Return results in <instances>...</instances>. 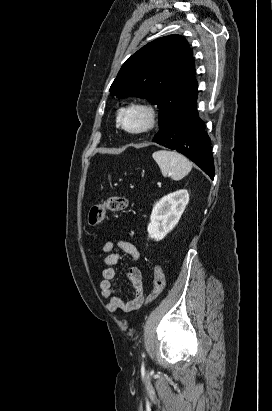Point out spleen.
I'll return each instance as SVG.
<instances>
[{
  "label": "spleen",
  "instance_id": "obj_1",
  "mask_svg": "<svg viewBox=\"0 0 272 411\" xmlns=\"http://www.w3.org/2000/svg\"><path fill=\"white\" fill-rule=\"evenodd\" d=\"M163 176H170L173 180H181L192 169V163L182 154L169 150H158L153 153Z\"/></svg>",
  "mask_w": 272,
  "mask_h": 411
}]
</instances>
